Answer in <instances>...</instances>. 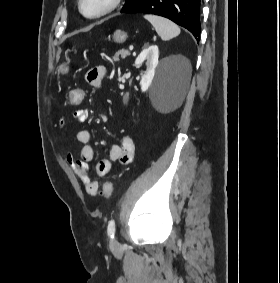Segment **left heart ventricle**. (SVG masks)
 <instances>
[{"label":"left heart ventricle","mask_w":280,"mask_h":283,"mask_svg":"<svg viewBox=\"0 0 280 283\" xmlns=\"http://www.w3.org/2000/svg\"><path fill=\"white\" fill-rule=\"evenodd\" d=\"M109 0H83V9L86 14H95L106 7Z\"/></svg>","instance_id":"1"}]
</instances>
